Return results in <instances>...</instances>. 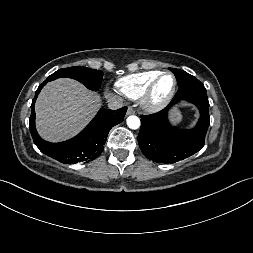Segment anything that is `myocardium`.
<instances>
[{
	"label": "myocardium",
	"mask_w": 253,
	"mask_h": 253,
	"mask_svg": "<svg viewBox=\"0 0 253 253\" xmlns=\"http://www.w3.org/2000/svg\"><path fill=\"white\" fill-rule=\"evenodd\" d=\"M164 76H170L173 79V86L170 90V92L161 100L156 101L153 98L154 90L158 84V82L161 80ZM177 78L172 72H161L158 74L147 86L146 90L144 91L143 95L140 98V103L143 107V109L149 113H157L161 110L165 109L174 98L176 91H177Z\"/></svg>",
	"instance_id": "obj_1"
}]
</instances>
